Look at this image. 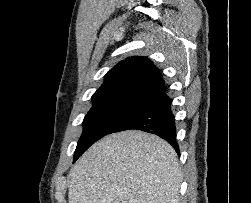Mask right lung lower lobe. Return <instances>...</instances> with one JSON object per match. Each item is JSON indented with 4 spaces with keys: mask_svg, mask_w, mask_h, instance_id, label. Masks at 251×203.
Instances as JSON below:
<instances>
[{
    "mask_svg": "<svg viewBox=\"0 0 251 203\" xmlns=\"http://www.w3.org/2000/svg\"><path fill=\"white\" fill-rule=\"evenodd\" d=\"M174 121L171 101L167 99L156 106L138 112L115 128L112 133L131 129L152 133L166 140L179 154Z\"/></svg>",
    "mask_w": 251,
    "mask_h": 203,
    "instance_id": "obj_1",
    "label": "right lung lower lobe"
}]
</instances>
